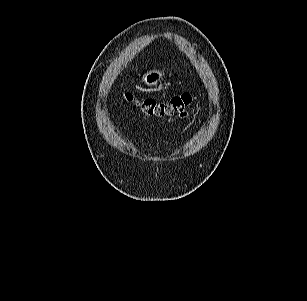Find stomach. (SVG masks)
Masks as SVG:
<instances>
[{
  "label": "stomach",
  "mask_w": 307,
  "mask_h": 301,
  "mask_svg": "<svg viewBox=\"0 0 307 301\" xmlns=\"http://www.w3.org/2000/svg\"><path fill=\"white\" fill-rule=\"evenodd\" d=\"M162 77L163 73L161 71L151 70L143 75L142 82L149 87H153L161 82Z\"/></svg>",
  "instance_id": "stomach-1"
}]
</instances>
